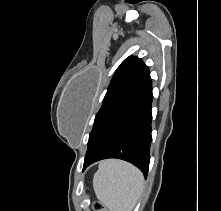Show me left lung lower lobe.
Listing matches in <instances>:
<instances>
[{
    "instance_id": "1",
    "label": "left lung lower lobe",
    "mask_w": 221,
    "mask_h": 211,
    "mask_svg": "<svg viewBox=\"0 0 221 211\" xmlns=\"http://www.w3.org/2000/svg\"><path fill=\"white\" fill-rule=\"evenodd\" d=\"M152 98V80L149 77L138 95L113 118L86 152L83 169L98 160L118 158L134 164L146 178L152 140Z\"/></svg>"
}]
</instances>
